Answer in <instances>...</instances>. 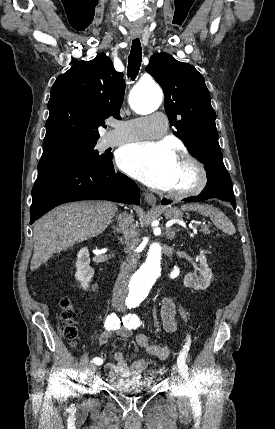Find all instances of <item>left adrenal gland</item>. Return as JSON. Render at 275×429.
<instances>
[{"label": "left adrenal gland", "mask_w": 275, "mask_h": 429, "mask_svg": "<svg viewBox=\"0 0 275 429\" xmlns=\"http://www.w3.org/2000/svg\"><path fill=\"white\" fill-rule=\"evenodd\" d=\"M176 231H178V230L171 229V228L166 229L167 238L170 239V240L174 239Z\"/></svg>", "instance_id": "obj_1"}]
</instances>
